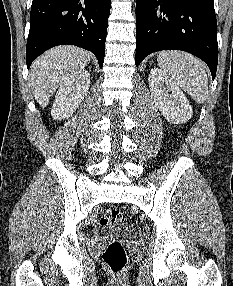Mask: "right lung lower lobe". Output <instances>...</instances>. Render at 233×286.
I'll return each mask as SVG.
<instances>
[{
  "label": "right lung lower lobe",
  "mask_w": 233,
  "mask_h": 286,
  "mask_svg": "<svg viewBox=\"0 0 233 286\" xmlns=\"http://www.w3.org/2000/svg\"><path fill=\"white\" fill-rule=\"evenodd\" d=\"M111 0H33L26 58L51 47L76 45L93 52L102 68Z\"/></svg>",
  "instance_id": "obj_1"
}]
</instances>
